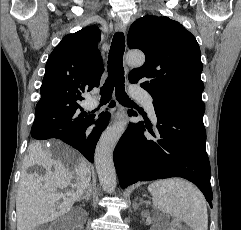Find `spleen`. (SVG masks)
Returning <instances> with one entry per match:
<instances>
[{"mask_svg": "<svg viewBox=\"0 0 241 230\" xmlns=\"http://www.w3.org/2000/svg\"><path fill=\"white\" fill-rule=\"evenodd\" d=\"M148 190L154 206L162 213L184 221L193 230L208 229L205 198L191 183L180 179L159 180L151 183Z\"/></svg>", "mask_w": 241, "mask_h": 230, "instance_id": "obj_1", "label": "spleen"}]
</instances>
